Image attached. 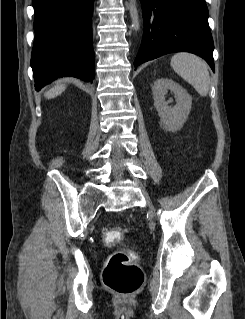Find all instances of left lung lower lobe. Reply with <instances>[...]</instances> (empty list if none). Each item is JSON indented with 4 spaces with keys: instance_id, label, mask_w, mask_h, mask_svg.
I'll return each mask as SVG.
<instances>
[{
    "instance_id": "left-lung-lower-lobe-1",
    "label": "left lung lower lobe",
    "mask_w": 245,
    "mask_h": 319,
    "mask_svg": "<svg viewBox=\"0 0 245 319\" xmlns=\"http://www.w3.org/2000/svg\"><path fill=\"white\" fill-rule=\"evenodd\" d=\"M144 34L135 68L171 52L194 53L214 71L213 39L205 0H140Z\"/></svg>"
}]
</instances>
